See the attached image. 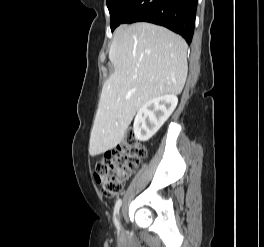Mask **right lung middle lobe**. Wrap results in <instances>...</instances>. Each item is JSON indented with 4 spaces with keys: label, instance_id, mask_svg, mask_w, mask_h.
<instances>
[{
    "label": "right lung middle lobe",
    "instance_id": "obj_1",
    "mask_svg": "<svg viewBox=\"0 0 264 247\" xmlns=\"http://www.w3.org/2000/svg\"><path fill=\"white\" fill-rule=\"evenodd\" d=\"M110 12V27L113 31L118 26V18L131 0H106Z\"/></svg>",
    "mask_w": 264,
    "mask_h": 247
}]
</instances>
